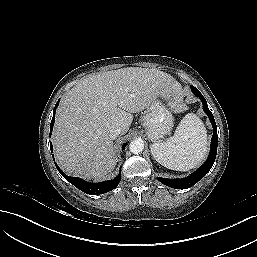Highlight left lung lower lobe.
<instances>
[{
	"label": "left lung lower lobe",
	"instance_id": "0a47b994",
	"mask_svg": "<svg viewBox=\"0 0 257 257\" xmlns=\"http://www.w3.org/2000/svg\"><path fill=\"white\" fill-rule=\"evenodd\" d=\"M191 90L202 101L203 110L208 115V117L211 121V124L213 126L214 132H213V136H212V140H211V149H210V153H209L207 160L190 177L184 178V179L158 178V180L161 183H163L171 188H174V189L190 188L193 185H195L198 181H200V179L203 178V176L206 175V173H208V171L213 166V163L215 161L216 154H217V145H218L217 126H216L213 114L209 110V108L207 106V102H206L205 98L202 96V94L199 92V90L195 87L194 88L191 87Z\"/></svg>",
	"mask_w": 257,
	"mask_h": 257
}]
</instances>
